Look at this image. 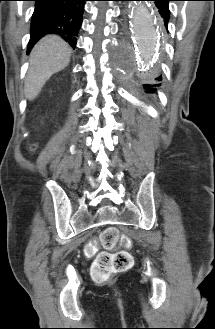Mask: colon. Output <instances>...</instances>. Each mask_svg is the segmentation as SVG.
I'll list each match as a JSON object with an SVG mask.
<instances>
[{"label":"colon","instance_id":"obj_1","mask_svg":"<svg viewBox=\"0 0 215 329\" xmlns=\"http://www.w3.org/2000/svg\"><path fill=\"white\" fill-rule=\"evenodd\" d=\"M129 244L128 239L121 238L115 227L106 228L100 235L101 245L111 250L116 247L118 242ZM96 249V242H92L86 248L87 254H93ZM133 258L127 251H119L116 253L102 252L100 253L91 267L92 279L96 282H104L113 274L122 272L131 267Z\"/></svg>","mask_w":215,"mask_h":329}]
</instances>
